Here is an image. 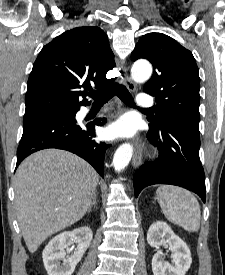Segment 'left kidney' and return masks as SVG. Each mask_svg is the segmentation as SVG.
Masks as SVG:
<instances>
[{"instance_id":"left-kidney-1","label":"left kidney","mask_w":225,"mask_h":275,"mask_svg":"<svg viewBox=\"0 0 225 275\" xmlns=\"http://www.w3.org/2000/svg\"><path fill=\"white\" fill-rule=\"evenodd\" d=\"M147 242L151 247L159 248L169 244L172 262L164 261V254L157 252L152 258L153 275H185L191 266V253L186 243L179 238L165 222L152 224L147 232Z\"/></svg>"}]
</instances>
